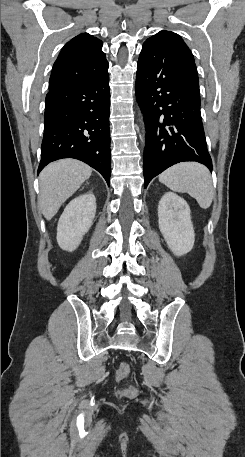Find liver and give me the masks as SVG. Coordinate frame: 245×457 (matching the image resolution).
<instances>
[{"mask_svg": "<svg viewBox=\"0 0 245 457\" xmlns=\"http://www.w3.org/2000/svg\"><path fill=\"white\" fill-rule=\"evenodd\" d=\"M91 172V166L75 158H61L43 168L39 176L38 202L47 220H51L61 204L91 176Z\"/></svg>", "mask_w": 245, "mask_h": 457, "instance_id": "liver-1", "label": "liver"}]
</instances>
